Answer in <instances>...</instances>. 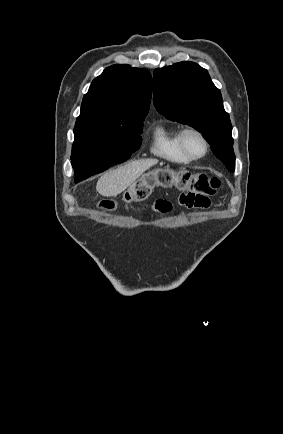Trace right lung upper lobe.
Listing matches in <instances>:
<instances>
[{
  "instance_id": "cb5924a9",
  "label": "right lung upper lobe",
  "mask_w": 283,
  "mask_h": 434,
  "mask_svg": "<svg viewBox=\"0 0 283 434\" xmlns=\"http://www.w3.org/2000/svg\"><path fill=\"white\" fill-rule=\"evenodd\" d=\"M151 96L152 77L148 70L112 65L91 83L75 125L142 121L148 113Z\"/></svg>"
}]
</instances>
